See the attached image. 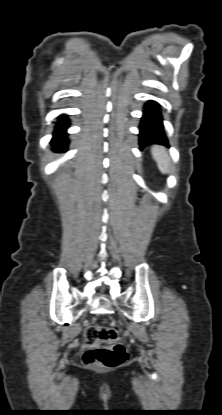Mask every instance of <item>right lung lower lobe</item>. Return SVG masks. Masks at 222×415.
<instances>
[{"label":"right lung lower lobe","instance_id":"obj_1","mask_svg":"<svg viewBox=\"0 0 222 415\" xmlns=\"http://www.w3.org/2000/svg\"><path fill=\"white\" fill-rule=\"evenodd\" d=\"M69 127V121L65 115L59 117L57 125L55 127L53 139L51 145L58 151H64L68 146V139L66 138V129Z\"/></svg>","mask_w":222,"mask_h":415}]
</instances>
